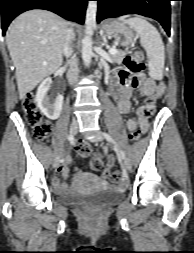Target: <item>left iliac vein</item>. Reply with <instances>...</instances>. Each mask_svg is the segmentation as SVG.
I'll return each instance as SVG.
<instances>
[{
  "instance_id": "4c4485c4",
  "label": "left iliac vein",
  "mask_w": 194,
  "mask_h": 253,
  "mask_svg": "<svg viewBox=\"0 0 194 253\" xmlns=\"http://www.w3.org/2000/svg\"><path fill=\"white\" fill-rule=\"evenodd\" d=\"M103 140V135L101 132H97L95 134V136L93 137L92 141L94 142H100ZM123 167L126 169V170H130L131 169V163L130 161L126 158L123 162Z\"/></svg>"
}]
</instances>
